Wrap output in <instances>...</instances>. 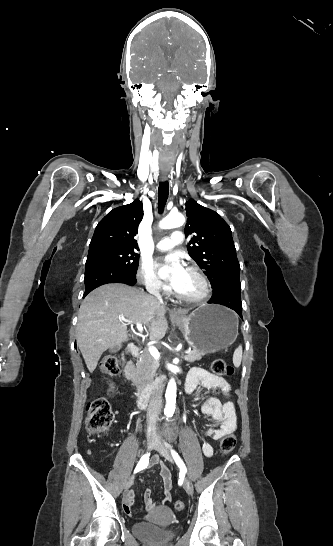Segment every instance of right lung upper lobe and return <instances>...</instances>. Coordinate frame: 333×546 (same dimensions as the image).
Returning <instances> with one entry per match:
<instances>
[{
  "label": "right lung upper lobe",
  "mask_w": 333,
  "mask_h": 546,
  "mask_svg": "<svg viewBox=\"0 0 333 546\" xmlns=\"http://www.w3.org/2000/svg\"><path fill=\"white\" fill-rule=\"evenodd\" d=\"M143 205L139 200L111 210L96 226L89 251L103 247L138 249L134 239L143 218Z\"/></svg>",
  "instance_id": "1"
}]
</instances>
